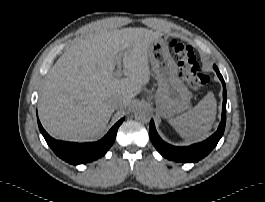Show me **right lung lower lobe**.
Wrapping results in <instances>:
<instances>
[{"mask_svg": "<svg viewBox=\"0 0 265 202\" xmlns=\"http://www.w3.org/2000/svg\"><path fill=\"white\" fill-rule=\"evenodd\" d=\"M124 118L119 120L109 132L99 141L91 143H73V142H64L53 139L47 134L43 129L39 119L38 126L39 130L44 136L47 144L64 161L77 165L96 160L107 152V150L112 146L116 138L117 130Z\"/></svg>", "mask_w": 265, "mask_h": 202, "instance_id": "obj_1", "label": "right lung lower lobe"}]
</instances>
